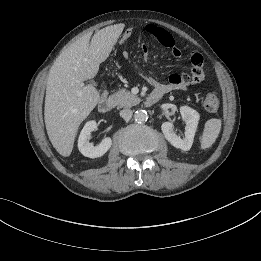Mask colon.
<instances>
[{
    "instance_id": "5ec220e1",
    "label": "colon",
    "mask_w": 261,
    "mask_h": 261,
    "mask_svg": "<svg viewBox=\"0 0 261 261\" xmlns=\"http://www.w3.org/2000/svg\"><path fill=\"white\" fill-rule=\"evenodd\" d=\"M134 29L128 26L125 31L117 38L116 45L123 47L132 37ZM220 101L214 93H208L203 98V106L209 112H216L219 109Z\"/></svg>"
}]
</instances>
